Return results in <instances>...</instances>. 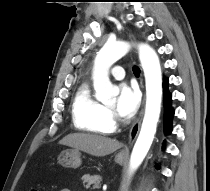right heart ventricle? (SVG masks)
<instances>
[{
	"mask_svg": "<svg viewBox=\"0 0 210 191\" xmlns=\"http://www.w3.org/2000/svg\"><path fill=\"white\" fill-rule=\"evenodd\" d=\"M75 127L91 134H108L114 129L107 108L95 99L88 84L80 86L72 103Z\"/></svg>",
	"mask_w": 210,
	"mask_h": 191,
	"instance_id": "e07e8e85",
	"label": "right heart ventricle"
}]
</instances>
